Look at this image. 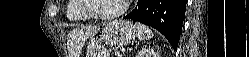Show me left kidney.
I'll return each mask as SVG.
<instances>
[{"label": "left kidney", "mask_w": 249, "mask_h": 57, "mask_svg": "<svg viewBox=\"0 0 249 57\" xmlns=\"http://www.w3.org/2000/svg\"><path fill=\"white\" fill-rule=\"evenodd\" d=\"M136 57H160L159 53L150 47H145L139 51Z\"/></svg>", "instance_id": "obj_1"}]
</instances>
